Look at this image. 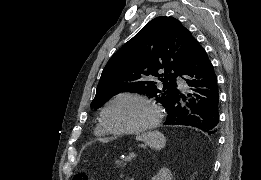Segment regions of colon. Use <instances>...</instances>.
Returning <instances> with one entry per match:
<instances>
[{
  "instance_id": "obj_1",
  "label": "colon",
  "mask_w": 261,
  "mask_h": 180,
  "mask_svg": "<svg viewBox=\"0 0 261 180\" xmlns=\"http://www.w3.org/2000/svg\"><path fill=\"white\" fill-rule=\"evenodd\" d=\"M74 180H88V175L85 173H76L74 175Z\"/></svg>"
}]
</instances>
